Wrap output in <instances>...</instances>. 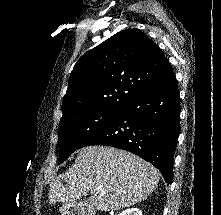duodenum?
I'll return each mask as SVG.
<instances>
[{
    "label": "duodenum",
    "mask_w": 221,
    "mask_h": 215,
    "mask_svg": "<svg viewBox=\"0 0 221 215\" xmlns=\"http://www.w3.org/2000/svg\"><path fill=\"white\" fill-rule=\"evenodd\" d=\"M81 215H92V214H81Z\"/></svg>",
    "instance_id": "duodenum-1"
}]
</instances>
